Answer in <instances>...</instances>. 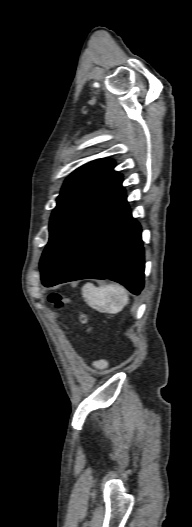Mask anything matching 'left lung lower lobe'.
Returning <instances> with one entry per match:
<instances>
[{"label":"left lung lower lobe","mask_w":192,"mask_h":527,"mask_svg":"<svg viewBox=\"0 0 192 527\" xmlns=\"http://www.w3.org/2000/svg\"><path fill=\"white\" fill-rule=\"evenodd\" d=\"M120 181L77 230L42 284L85 278L110 279L134 294L144 284L141 227L132 218Z\"/></svg>","instance_id":"left-lung-lower-lobe-1"}]
</instances>
